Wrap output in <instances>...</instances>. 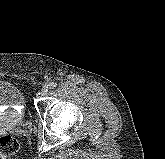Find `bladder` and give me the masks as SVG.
<instances>
[{
	"label": "bladder",
	"mask_w": 165,
	"mask_h": 159,
	"mask_svg": "<svg viewBox=\"0 0 165 159\" xmlns=\"http://www.w3.org/2000/svg\"><path fill=\"white\" fill-rule=\"evenodd\" d=\"M0 106L10 109L0 112V122L10 116L21 118L24 114L25 97L20 88L13 83L0 81Z\"/></svg>",
	"instance_id": "obj_1"
}]
</instances>
